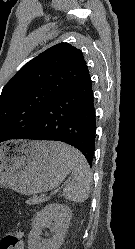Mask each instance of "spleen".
Listing matches in <instances>:
<instances>
[{"mask_svg":"<svg viewBox=\"0 0 135 249\" xmlns=\"http://www.w3.org/2000/svg\"><path fill=\"white\" fill-rule=\"evenodd\" d=\"M51 147L71 163L72 178L63 190L64 197L76 203L86 201L92 184V172L86 158L67 144L52 142Z\"/></svg>","mask_w":135,"mask_h":249,"instance_id":"3e777b00","label":"spleen"}]
</instances>
